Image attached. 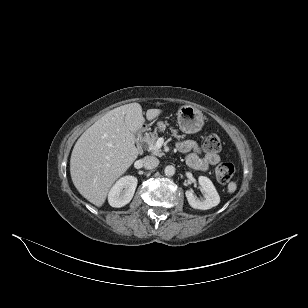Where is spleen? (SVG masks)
Wrapping results in <instances>:
<instances>
[{
    "mask_svg": "<svg viewBox=\"0 0 308 308\" xmlns=\"http://www.w3.org/2000/svg\"><path fill=\"white\" fill-rule=\"evenodd\" d=\"M237 185L235 182H230L227 186L228 193L232 194L236 191Z\"/></svg>",
    "mask_w": 308,
    "mask_h": 308,
    "instance_id": "spleen-1",
    "label": "spleen"
}]
</instances>
